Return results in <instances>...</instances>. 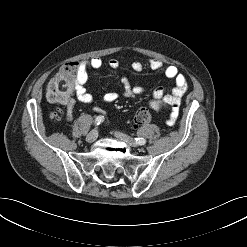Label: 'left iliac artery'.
<instances>
[{"label":"left iliac artery","instance_id":"left-iliac-artery-1","mask_svg":"<svg viewBox=\"0 0 247 247\" xmlns=\"http://www.w3.org/2000/svg\"><path fill=\"white\" fill-rule=\"evenodd\" d=\"M135 141L139 145H144L146 143V140L144 138H135Z\"/></svg>","mask_w":247,"mask_h":247}]
</instances>
